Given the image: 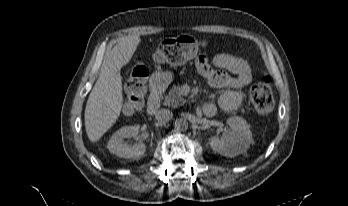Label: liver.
Here are the masks:
<instances>
[{
  "label": "liver",
  "mask_w": 348,
  "mask_h": 206,
  "mask_svg": "<svg viewBox=\"0 0 348 206\" xmlns=\"http://www.w3.org/2000/svg\"><path fill=\"white\" fill-rule=\"evenodd\" d=\"M139 43L138 35L122 37L104 57L85 108V129L91 142L98 141L121 113L123 89L120 70L130 62Z\"/></svg>",
  "instance_id": "6515ba94"
}]
</instances>
